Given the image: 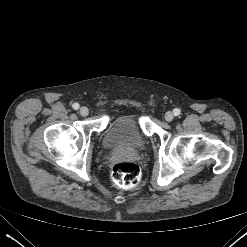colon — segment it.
<instances>
[{
  "instance_id": "5ec220e1",
  "label": "colon",
  "mask_w": 247,
  "mask_h": 247,
  "mask_svg": "<svg viewBox=\"0 0 247 247\" xmlns=\"http://www.w3.org/2000/svg\"><path fill=\"white\" fill-rule=\"evenodd\" d=\"M111 176L117 186L130 189L139 183L141 172L135 163L120 162L113 167Z\"/></svg>"
}]
</instances>
